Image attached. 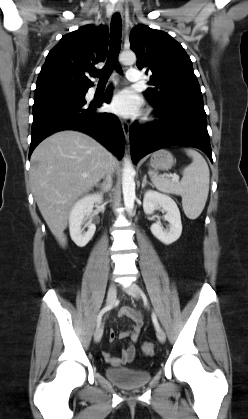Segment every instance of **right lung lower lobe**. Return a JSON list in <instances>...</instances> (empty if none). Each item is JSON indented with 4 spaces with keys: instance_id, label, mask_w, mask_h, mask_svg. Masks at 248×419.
Instances as JSON below:
<instances>
[{
    "instance_id": "obj_1",
    "label": "right lung lower lobe",
    "mask_w": 248,
    "mask_h": 419,
    "mask_svg": "<svg viewBox=\"0 0 248 419\" xmlns=\"http://www.w3.org/2000/svg\"><path fill=\"white\" fill-rule=\"evenodd\" d=\"M112 90L108 88L98 101L86 102L84 97L68 95H45L34 98L32 140L29 156L47 136L61 130L82 131L113 152L119 159L123 156L124 134L117 116L97 113L102 103H109Z\"/></svg>"
}]
</instances>
